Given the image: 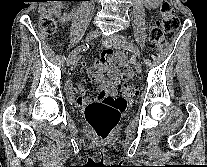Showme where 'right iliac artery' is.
Returning <instances> with one entry per match:
<instances>
[{
  "label": "right iliac artery",
  "instance_id": "1",
  "mask_svg": "<svg viewBox=\"0 0 207 167\" xmlns=\"http://www.w3.org/2000/svg\"><path fill=\"white\" fill-rule=\"evenodd\" d=\"M87 47H88V44L83 45V46L78 47V48H76L75 50H73V51L69 54V56H68L67 64L69 65V64L71 63L72 59H73L79 52L84 51L85 49H87Z\"/></svg>",
  "mask_w": 207,
  "mask_h": 167
}]
</instances>
